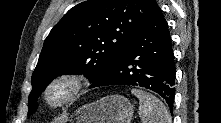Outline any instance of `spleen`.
<instances>
[{"label":"spleen","instance_id":"1","mask_svg":"<svg viewBox=\"0 0 221 123\" xmlns=\"http://www.w3.org/2000/svg\"><path fill=\"white\" fill-rule=\"evenodd\" d=\"M131 92L139 99V116L142 123L172 122L168 109L157 97L136 88Z\"/></svg>","mask_w":221,"mask_h":123}]
</instances>
